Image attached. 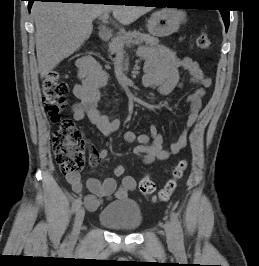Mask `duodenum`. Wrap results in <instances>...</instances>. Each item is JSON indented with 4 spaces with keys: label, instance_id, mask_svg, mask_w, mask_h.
I'll use <instances>...</instances> for the list:
<instances>
[{
    "label": "duodenum",
    "instance_id": "obj_1",
    "mask_svg": "<svg viewBox=\"0 0 259 266\" xmlns=\"http://www.w3.org/2000/svg\"><path fill=\"white\" fill-rule=\"evenodd\" d=\"M112 36V32L108 28H104L99 32V37L102 41H108ZM86 68L89 67V62L84 65Z\"/></svg>",
    "mask_w": 259,
    "mask_h": 266
}]
</instances>
